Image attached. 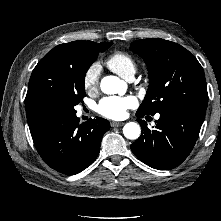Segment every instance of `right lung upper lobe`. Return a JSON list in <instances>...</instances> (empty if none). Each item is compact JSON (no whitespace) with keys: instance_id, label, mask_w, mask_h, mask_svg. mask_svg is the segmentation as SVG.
Returning a JSON list of instances; mask_svg holds the SVG:
<instances>
[{"instance_id":"cb5924a9","label":"right lung upper lobe","mask_w":221,"mask_h":221,"mask_svg":"<svg viewBox=\"0 0 221 221\" xmlns=\"http://www.w3.org/2000/svg\"><path fill=\"white\" fill-rule=\"evenodd\" d=\"M88 43L89 41H73L70 43L60 44L54 47L50 52H48L42 58V60L34 68L31 74L30 80H29V87H28V91H27V95L25 99L26 112L34 108L42 107L39 96H40V92L45 81L44 80L45 76L42 72L43 65L67 54L68 52H70L72 49L76 47H79Z\"/></svg>"}]
</instances>
